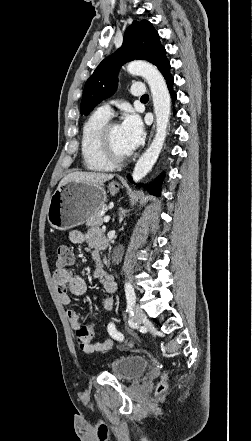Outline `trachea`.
Instances as JSON below:
<instances>
[{
    "label": "trachea",
    "mask_w": 252,
    "mask_h": 441,
    "mask_svg": "<svg viewBox=\"0 0 252 441\" xmlns=\"http://www.w3.org/2000/svg\"><path fill=\"white\" fill-rule=\"evenodd\" d=\"M148 98H149L148 94H145V95H143V96L141 97V100H146V99H148Z\"/></svg>",
    "instance_id": "trachea-1"
}]
</instances>
